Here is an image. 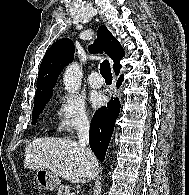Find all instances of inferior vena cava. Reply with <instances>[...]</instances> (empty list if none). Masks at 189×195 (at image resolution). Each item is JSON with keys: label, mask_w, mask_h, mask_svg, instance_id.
Instances as JSON below:
<instances>
[{"label": "inferior vena cava", "mask_w": 189, "mask_h": 195, "mask_svg": "<svg viewBox=\"0 0 189 195\" xmlns=\"http://www.w3.org/2000/svg\"><path fill=\"white\" fill-rule=\"evenodd\" d=\"M77 134L79 138V143L82 146H87L89 144V129L90 123L86 116L80 117L76 122Z\"/></svg>", "instance_id": "inferior-vena-cava-1"}]
</instances>
